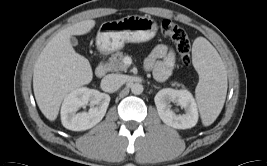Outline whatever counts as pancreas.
Returning a JSON list of instances; mask_svg holds the SVG:
<instances>
[{
    "label": "pancreas",
    "mask_w": 267,
    "mask_h": 166,
    "mask_svg": "<svg viewBox=\"0 0 267 166\" xmlns=\"http://www.w3.org/2000/svg\"><path fill=\"white\" fill-rule=\"evenodd\" d=\"M125 55L117 51L116 53L112 54L109 58V61L106 64V67L109 71H127L128 66L124 63ZM173 86H179L177 82L172 83Z\"/></svg>",
    "instance_id": "pancreas-1"
}]
</instances>
